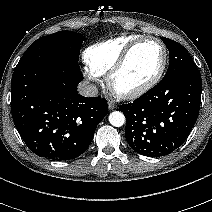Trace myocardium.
<instances>
[{
  "mask_svg": "<svg viewBox=\"0 0 212 212\" xmlns=\"http://www.w3.org/2000/svg\"><path fill=\"white\" fill-rule=\"evenodd\" d=\"M145 42H154L158 44L163 52V58L161 65L158 69V71L155 73V75L149 79L144 84L130 90H121L116 85V78L119 75V73L123 70L126 63L128 62L131 54L133 51L142 43ZM168 63V50L165 44L155 37H139L138 39L134 40L132 43H130L127 48L122 52L116 63L113 65V67L110 69V71L107 74V83L110 88V90L117 95L120 98L123 99H134L137 97L142 96L149 90H151L155 85L158 84V82L161 80L166 67Z\"/></svg>",
  "mask_w": 212,
  "mask_h": 212,
  "instance_id": "myocardium-1",
  "label": "myocardium"
}]
</instances>
